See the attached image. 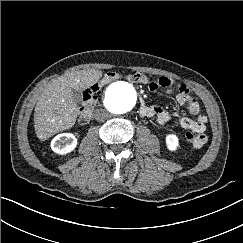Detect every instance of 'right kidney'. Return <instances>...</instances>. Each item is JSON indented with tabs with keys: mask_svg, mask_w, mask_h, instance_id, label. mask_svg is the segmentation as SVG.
I'll use <instances>...</instances> for the list:
<instances>
[{
	"mask_svg": "<svg viewBox=\"0 0 243 243\" xmlns=\"http://www.w3.org/2000/svg\"><path fill=\"white\" fill-rule=\"evenodd\" d=\"M77 146V138L71 133L58 134L51 141V149L58 154H67Z\"/></svg>",
	"mask_w": 243,
	"mask_h": 243,
	"instance_id": "right-kidney-1",
	"label": "right kidney"
}]
</instances>
